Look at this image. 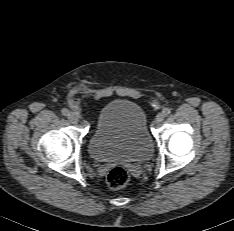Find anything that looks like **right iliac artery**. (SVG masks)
<instances>
[{"mask_svg": "<svg viewBox=\"0 0 234 231\" xmlns=\"http://www.w3.org/2000/svg\"><path fill=\"white\" fill-rule=\"evenodd\" d=\"M61 113H62V115H64V116H68V115H69V111H68V109H66V108H63V109L61 110Z\"/></svg>", "mask_w": 234, "mask_h": 231, "instance_id": "obj_1", "label": "right iliac artery"}]
</instances>
